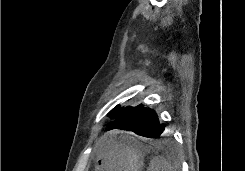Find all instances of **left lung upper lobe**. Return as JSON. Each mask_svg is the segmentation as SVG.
<instances>
[{"mask_svg": "<svg viewBox=\"0 0 245 171\" xmlns=\"http://www.w3.org/2000/svg\"><path fill=\"white\" fill-rule=\"evenodd\" d=\"M131 108V106H127V107H121L120 105L115 106L109 113H108V117H110L111 119H114V121L110 124V126L117 122L122 115H124L129 109Z\"/></svg>", "mask_w": 245, "mask_h": 171, "instance_id": "1", "label": "left lung upper lobe"}]
</instances>
